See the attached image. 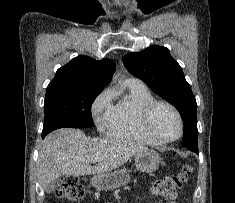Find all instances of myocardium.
Listing matches in <instances>:
<instances>
[{"mask_svg": "<svg viewBox=\"0 0 235 203\" xmlns=\"http://www.w3.org/2000/svg\"><path fill=\"white\" fill-rule=\"evenodd\" d=\"M159 106H166L170 110H172V112L175 114V116L178 120V123H179V133L175 138L164 139V138L157 136L156 134H154L152 132L151 127H150L151 118H152L154 111ZM140 123H141V127H142V130L144 131V133L150 139H152L154 142H156L158 144L173 143V142L179 140L183 136V133H184V122H183V118L181 116V113L172 103H170L168 101H164V100H154V101L148 103L147 105H145L141 111Z\"/></svg>", "mask_w": 235, "mask_h": 203, "instance_id": "myocardium-1", "label": "myocardium"}]
</instances>
